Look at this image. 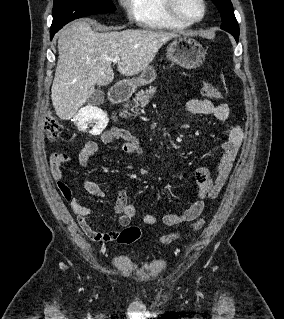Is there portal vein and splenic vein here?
Returning <instances> with one entry per match:
<instances>
[{
    "label": "portal vein and splenic vein",
    "instance_id": "portal-vein-and-splenic-vein-1",
    "mask_svg": "<svg viewBox=\"0 0 284 319\" xmlns=\"http://www.w3.org/2000/svg\"><path fill=\"white\" fill-rule=\"evenodd\" d=\"M112 62L114 63H119L120 62V58L119 57H114L111 59Z\"/></svg>",
    "mask_w": 284,
    "mask_h": 319
}]
</instances>
